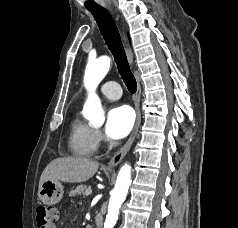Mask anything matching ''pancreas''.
I'll return each mask as SVG.
<instances>
[{
    "mask_svg": "<svg viewBox=\"0 0 238 228\" xmlns=\"http://www.w3.org/2000/svg\"><path fill=\"white\" fill-rule=\"evenodd\" d=\"M87 189L88 188L86 185H78L75 189L70 191L69 195L70 196L81 195V194H84Z\"/></svg>",
    "mask_w": 238,
    "mask_h": 228,
    "instance_id": "obj_1",
    "label": "pancreas"
}]
</instances>
